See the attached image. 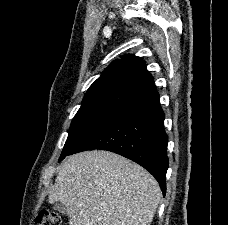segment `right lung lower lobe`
<instances>
[{"label":"right lung lower lobe","instance_id":"98d812e1","mask_svg":"<svg viewBox=\"0 0 228 225\" xmlns=\"http://www.w3.org/2000/svg\"><path fill=\"white\" fill-rule=\"evenodd\" d=\"M164 118L152 83L88 132L68 155L93 149L122 155L148 170L165 196L168 137Z\"/></svg>","mask_w":228,"mask_h":225}]
</instances>
